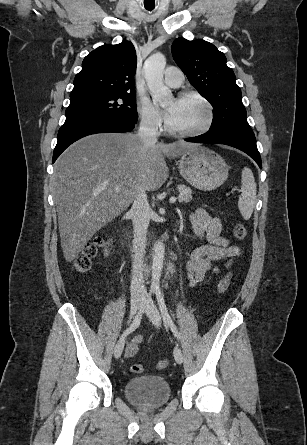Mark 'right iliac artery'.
<instances>
[{
    "label": "right iliac artery",
    "mask_w": 307,
    "mask_h": 445,
    "mask_svg": "<svg viewBox=\"0 0 307 445\" xmlns=\"http://www.w3.org/2000/svg\"><path fill=\"white\" fill-rule=\"evenodd\" d=\"M150 300H151V292L147 295L146 301L144 302L143 306L140 308V310H139L138 314L136 315V317L134 318L131 326L123 333V335L127 336L128 334H130L132 331H134L140 325L145 306L148 303V301H150Z\"/></svg>",
    "instance_id": "1"
}]
</instances>
